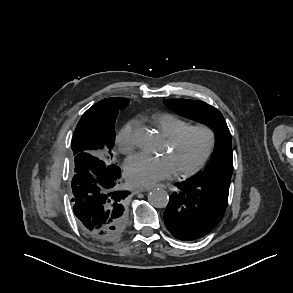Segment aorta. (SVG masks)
<instances>
[{"mask_svg":"<svg viewBox=\"0 0 293 293\" xmlns=\"http://www.w3.org/2000/svg\"><path fill=\"white\" fill-rule=\"evenodd\" d=\"M136 144L142 151L151 152L157 146V138L151 131L144 129L137 133ZM148 200L154 207L164 208L169 202V196L163 189H154L149 193Z\"/></svg>","mask_w":293,"mask_h":293,"instance_id":"aorta-1","label":"aorta"}]
</instances>
